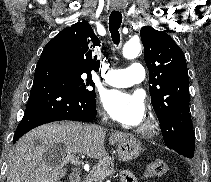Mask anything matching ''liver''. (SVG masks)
<instances>
[{"mask_svg": "<svg viewBox=\"0 0 211 182\" xmlns=\"http://www.w3.org/2000/svg\"><path fill=\"white\" fill-rule=\"evenodd\" d=\"M128 136L111 134L109 144ZM105 137L106 131L95 125L65 122L39 126L16 143L10 154L7 182H58L67 173L68 153L100 158L106 154ZM56 145L63 148L62 157L46 160L45 154Z\"/></svg>", "mask_w": 211, "mask_h": 182, "instance_id": "1", "label": "liver"}]
</instances>
